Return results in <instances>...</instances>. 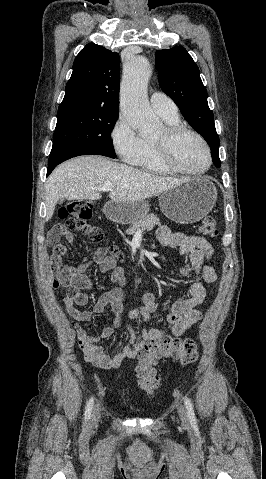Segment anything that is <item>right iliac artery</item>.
I'll list each match as a JSON object with an SVG mask.
<instances>
[{"instance_id":"right-iliac-artery-1","label":"right iliac artery","mask_w":266,"mask_h":479,"mask_svg":"<svg viewBox=\"0 0 266 479\" xmlns=\"http://www.w3.org/2000/svg\"><path fill=\"white\" fill-rule=\"evenodd\" d=\"M93 404H94V398L91 397L88 402H87V405H86V409H85V422L88 421L91 417V412H92V408H93Z\"/></svg>"}]
</instances>
